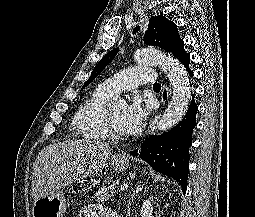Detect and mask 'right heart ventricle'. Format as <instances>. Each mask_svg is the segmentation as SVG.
I'll return each mask as SVG.
<instances>
[{
  "label": "right heart ventricle",
  "instance_id": "1",
  "mask_svg": "<svg viewBox=\"0 0 255 217\" xmlns=\"http://www.w3.org/2000/svg\"><path fill=\"white\" fill-rule=\"evenodd\" d=\"M112 96L102 85H99L78 107L72 120V127L79 136L94 141L108 139L104 115L106 104Z\"/></svg>",
  "mask_w": 255,
  "mask_h": 217
}]
</instances>
